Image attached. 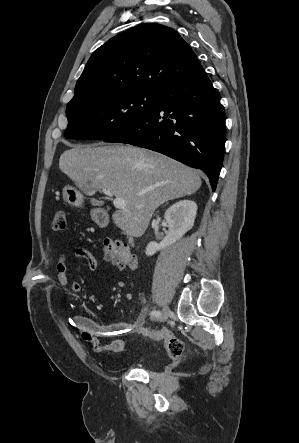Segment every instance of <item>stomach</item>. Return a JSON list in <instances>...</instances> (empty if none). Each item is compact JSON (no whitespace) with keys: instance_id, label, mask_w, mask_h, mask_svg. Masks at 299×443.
<instances>
[{"instance_id":"stomach-1","label":"stomach","mask_w":299,"mask_h":443,"mask_svg":"<svg viewBox=\"0 0 299 443\" xmlns=\"http://www.w3.org/2000/svg\"><path fill=\"white\" fill-rule=\"evenodd\" d=\"M63 199L69 204L79 207L83 204V195L72 186H65L63 188Z\"/></svg>"}]
</instances>
